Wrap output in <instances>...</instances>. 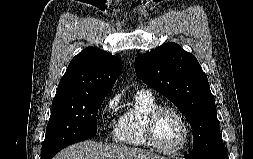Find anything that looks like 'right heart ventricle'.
I'll return each mask as SVG.
<instances>
[{
	"label": "right heart ventricle",
	"instance_id": "e07e8e85",
	"mask_svg": "<svg viewBox=\"0 0 253 159\" xmlns=\"http://www.w3.org/2000/svg\"><path fill=\"white\" fill-rule=\"evenodd\" d=\"M158 105L151 92L138 91L133 104L124 110L115 125L114 134L117 143L134 148H148L143 127L148 113Z\"/></svg>",
	"mask_w": 253,
	"mask_h": 159
}]
</instances>
